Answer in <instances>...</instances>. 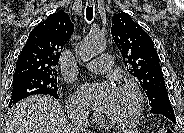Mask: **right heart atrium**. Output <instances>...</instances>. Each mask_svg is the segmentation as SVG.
<instances>
[{
	"instance_id": "1",
	"label": "right heart atrium",
	"mask_w": 184,
	"mask_h": 133,
	"mask_svg": "<svg viewBox=\"0 0 184 133\" xmlns=\"http://www.w3.org/2000/svg\"><path fill=\"white\" fill-rule=\"evenodd\" d=\"M67 109L71 114L85 115L88 113L86 105L74 95L69 97L67 101Z\"/></svg>"
}]
</instances>
